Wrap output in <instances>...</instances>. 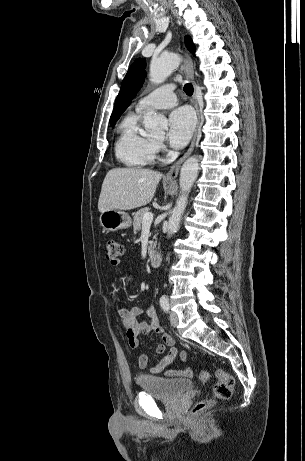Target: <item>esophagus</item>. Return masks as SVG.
I'll return each mask as SVG.
<instances>
[{
  "label": "esophagus",
  "instance_id": "obj_1",
  "mask_svg": "<svg viewBox=\"0 0 305 461\" xmlns=\"http://www.w3.org/2000/svg\"><path fill=\"white\" fill-rule=\"evenodd\" d=\"M184 57L185 58H184V63H183L182 68H183V70L185 72L186 77L189 79V81L194 86L192 102H193V105L195 107L196 114H197V126H196V129L194 131V135H193V138H192V141H191L189 149L171 167L170 171L164 177L165 181H175L176 180V178H177V176L179 174V170L181 168L182 163L189 157V155L192 153V151L194 149L196 138H197V133H198V130H199V124H200V113H199V108H198V103H197V93H196V83H195V79H194L193 63H192V60H191L190 56L187 53H184Z\"/></svg>",
  "mask_w": 305,
  "mask_h": 461
}]
</instances>
